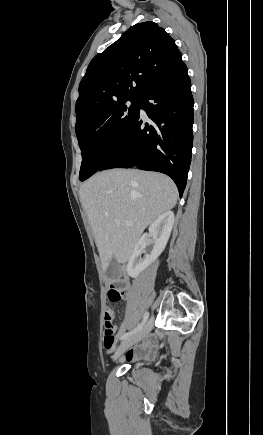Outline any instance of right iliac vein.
<instances>
[{"instance_id": "1", "label": "right iliac vein", "mask_w": 263, "mask_h": 435, "mask_svg": "<svg viewBox=\"0 0 263 435\" xmlns=\"http://www.w3.org/2000/svg\"><path fill=\"white\" fill-rule=\"evenodd\" d=\"M153 327V319H150L141 330H139L137 333L133 334L132 336L125 339L119 348L117 349L114 359L118 358L121 354H123L126 350H128L132 345L136 344L140 340H142L145 336L148 335V333L151 331Z\"/></svg>"}]
</instances>
